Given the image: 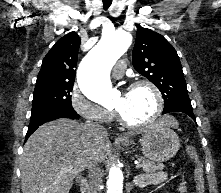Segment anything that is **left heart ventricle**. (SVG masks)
Segmentation results:
<instances>
[{
  "label": "left heart ventricle",
  "mask_w": 221,
  "mask_h": 193,
  "mask_svg": "<svg viewBox=\"0 0 221 193\" xmlns=\"http://www.w3.org/2000/svg\"><path fill=\"white\" fill-rule=\"evenodd\" d=\"M114 107L131 122H142L150 118L155 109V97L147 87L120 93L114 100Z\"/></svg>",
  "instance_id": "b2bd125f"
}]
</instances>
